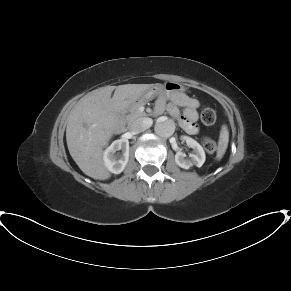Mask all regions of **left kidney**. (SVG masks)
<instances>
[{"instance_id":"1","label":"left kidney","mask_w":291,"mask_h":291,"mask_svg":"<svg viewBox=\"0 0 291 291\" xmlns=\"http://www.w3.org/2000/svg\"><path fill=\"white\" fill-rule=\"evenodd\" d=\"M182 139L186 141L187 146L192 148L193 151L189 155L188 159L185 158V153L178 151L175 155L176 164L183 169H189L194 165L201 167L204 164L206 158L202 146L197 141L188 136H182Z\"/></svg>"}]
</instances>
